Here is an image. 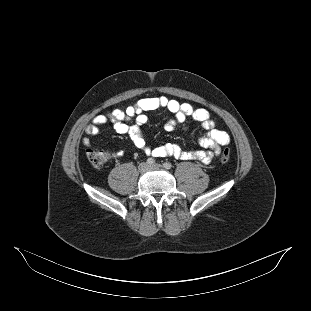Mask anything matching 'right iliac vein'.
Listing matches in <instances>:
<instances>
[{
    "instance_id": "1",
    "label": "right iliac vein",
    "mask_w": 311,
    "mask_h": 311,
    "mask_svg": "<svg viewBox=\"0 0 311 311\" xmlns=\"http://www.w3.org/2000/svg\"><path fill=\"white\" fill-rule=\"evenodd\" d=\"M148 168H149V166H148V164L147 163H141L139 166H138V170H139V172H141V173H144V172H146L147 170H148Z\"/></svg>"
}]
</instances>
